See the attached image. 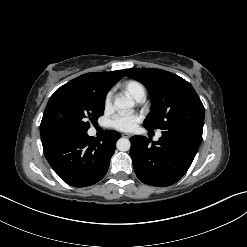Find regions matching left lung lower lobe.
Here are the masks:
<instances>
[{
	"label": "left lung lower lobe",
	"instance_id": "obj_1",
	"mask_svg": "<svg viewBox=\"0 0 247 247\" xmlns=\"http://www.w3.org/2000/svg\"><path fill=\"white\" fill-rule=\"evenodd\" d=\"M130 141L138 179L158 187L170 186L184 176L201 143L182 133H162L156 142L143 136H133Z\"/></svg>",
	"mask_w": 247,
	"mask_h": 247
}]
</instances>
